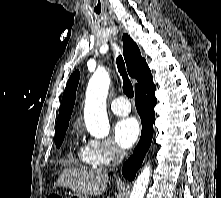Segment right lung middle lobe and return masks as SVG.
Masks as SVG:
<instances>
[{"label": "right lung middle lobe", "instance_id": "right-lung-middle-lobe-1", "mask_svg": "<svg viewBox=\"0 0 221 198\" xmlns=\"http://www.w3.org/2000/svg\"><path fill=\"white\" fill-rule=\"evenodd\" d=\"M68 127H65L59 131L55 132V143L56 147L59 148L64 140V136Z\"/></svg>", "mask_w": 221, "mask_h": 198}]
</instances>
